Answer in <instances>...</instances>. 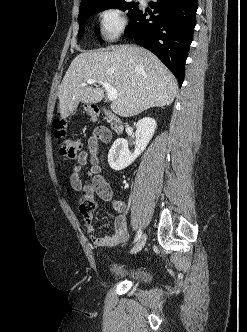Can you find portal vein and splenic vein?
<instances>
[{
	"mask_svg": "<svg viewBox=\"0 0 247 332\" xmlns=\"http://www.w3.org/2000/svg\"><path fill=\"white\" fill-rule=\"evenodd\" d=\"M94 83H99L102 85V87L107 91L108 99L110 101H114L118 97V91L111 87L107 82L101 81V80H96V79H89L86 81V83H81V86H86V85H91Z\"/></svg>",
	"mask_w": 247,
	"mask_h": 332,
	"instance_id": "obj_1",
	"label": "portal vein and splenic vein"
}]
</instances>
